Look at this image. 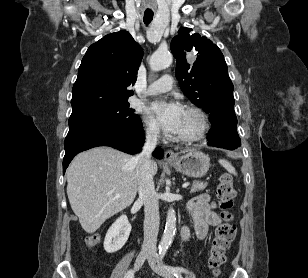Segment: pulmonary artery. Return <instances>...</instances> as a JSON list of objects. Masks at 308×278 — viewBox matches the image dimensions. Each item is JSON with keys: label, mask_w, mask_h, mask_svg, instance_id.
Here are the masks:
<instances>
[{"label": "pulmonary artery", "mask_w": 308, "mask_h": 278, "mask_svg": "<svg viewBox=\"0 0 308 278\" xmlns=\"http://www.w3.org/2000/svg\"><path fill=\"white\" fill-rule=\"evenodd\" d=\"M172 88L173 78L169 75H164L160 79L152 83L145 91V94L148 96L156 95L159 93L170 91Z\"/></svg>", "instance_id": "1"}]
</instances>
